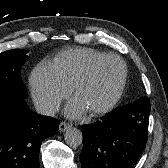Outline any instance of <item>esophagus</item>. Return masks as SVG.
I'll use <instances>...</instances> for the list:
<instances>
[{
	"mask_svg": "<svg viewBox=\"0 0 168 168\" xmlns=\"http://www.w3.org/2000/svg\"><path fill=\"white\" fill-rule=\"evenodd\" d=\"M70 127H71V125L69 123H67V122H61L59 124V130H60V132H64L67 129H69Z\"/></svg>",
	"mask_w": 168,
	"mask_h": 168,
	"instance_id": "esophagus-1",
	"label": "esophagus"
}]
</instances>
